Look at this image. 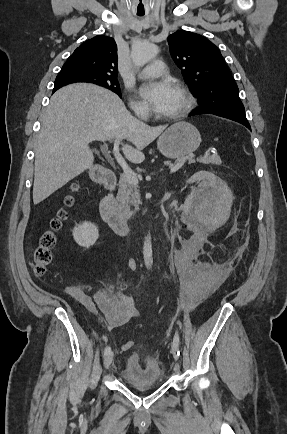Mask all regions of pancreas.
<instances>
[{"label":"pancreas","mask_w":287,"mask_h":434,"mask_svg":"<svg viewBox=\"0 0 287 434\" xmlns=\"http://www.w3.org/2000/svg\"><path fill=\"white\" fill-rule=\"evenodd\" d=\"M183 159H188L189 163H194L195 160L192 158V156H188L186 158H179L176 160V162H179ZM199 163L203 164H215V165H221V159L218 155H209L206 154L203 157H200L197 160ZM119 189L116 197V211L117 213L124 217V218H130L134 211L132 210V206L135 208L138 207L140 203V194L137 184L130 183L125 175H122L119 180Z\"/></svg>","instance_id":"pancreas-1"}]
</instances>
